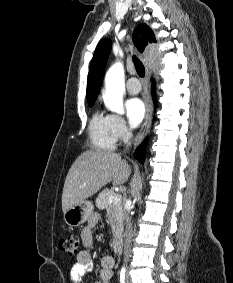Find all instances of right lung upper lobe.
<instances>
[{"mask_svg": "<svg viewBox=\"0 0 233 283\" xmlns=\"http://www.w3.org/2000/svg\"><path fill=\"white\" fill-rule=\"evenodd\" d=\"M133 41L140 52H142L147 45L156 43L153 31L146 24H141L135 29ZM110 47L111 41L109 39H103L99 42L94 52L87 83L86 96L89 105L94 104L99 93ZM153 48L157 49L158 45L154 44Z\"/></svg>", "mask_w": 233, "mask_h": 283, "instance_id": "right-lung-upper-lobe-1", "label": "right lung upper lobe"}]
</instances>
